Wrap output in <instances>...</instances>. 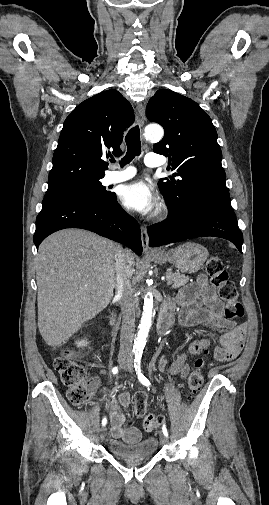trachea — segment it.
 Returning <instances> with one entry per match:
<instances>
[{
    "instance_id": "obj_1",
    "label": "trachea",
    "mask_w": 269,
    "mask_h": 505,
    "mask_svg": "<svg viewBox=\"0 0 269 505\" xmlns=\"http://www.w3.org/2000/svg\"><path fill=\"white\" fill-rule=\"evenodd\" d=\"M125 142L127 145V152L124 158L121 160V166L130 163L136 156L141 154V141H140V130L139 126L132 127L126 137ZM112 163L115 162L114 159L110 160Z\"/></svg>"
}]
</instances>
